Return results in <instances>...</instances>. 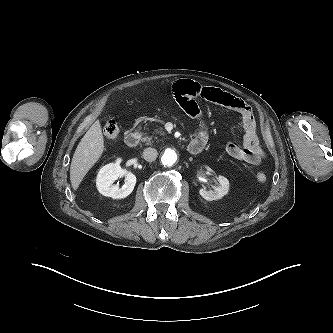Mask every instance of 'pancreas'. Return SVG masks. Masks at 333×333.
Segmentation results:
<instances>
[{
  "label": "pancreas",
  "instance_id": "1",
  "mask_svg": "<svg viewBox=\"0 0 333 333\" xmlns=\"http://www.w3.org/2000/svg\"><path fill=\"white\" fill-rule=\"evenodd\" d=\"M143 142H146L147 145H151L153 143V136H145L142 138Z\"/></svg>",
  "mask_w": 333,
  "mask_h": 333
}]
</instances>
